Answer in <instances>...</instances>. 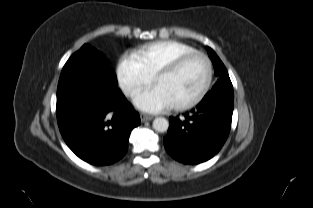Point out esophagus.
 Here are the masks:
<instances>
[{"label":"esophagus","instance_id":"34e87169","mask_svg":"<svg viewBox=\"0 0 313 208\" xmlns=\"http://www.w3.org/2000/svg\"><path fill=\"white\" fill-rule=\"evenodd\" d=\"M153 117L147 114H140V119L142 122L150 121Z\"/></svg>","mask_w":313,"mask_h":208}]
</instances>
